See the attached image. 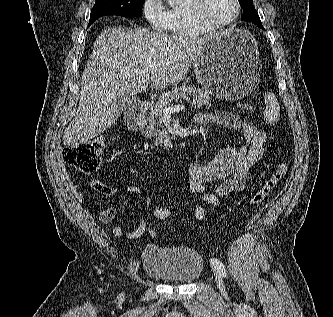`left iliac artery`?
<instances>
[{
    "label": "left iliac artery",
    "mask_w": 333,
    "mask_h": 317,
    "mask_svg": "<svg viewBox=\"0 0 333 317\" xmlns=\"http://www.w3.org/2000/svg\"><path fill=\"white\" fill-rule=\"evenodd\" d=\"M211 263H212V265H214L217 268V270L220 272V274L222 276H224V277L227 276L225 266H224V264L220 260H218V259H211Z\"/></svg>",
    "instance_id": "left-iliac-artery-1"
}]
</instances>
